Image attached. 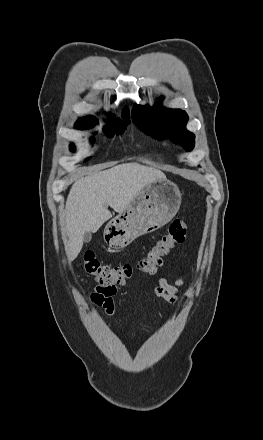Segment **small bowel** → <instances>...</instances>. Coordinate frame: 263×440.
Masks as SVG:
<instances>
[{
	"instance_id": "small-bowel-1",
	"label": "small bowel",
	"mask_w": 263,
	"mask_h": 440,
	"mask_svg": "<svg viewBox=\"0 0 263 440\" xmlns=\"http://www.w3.org/2000/svg\"><path fill=\"white\" fill-rule=\"evenodd\" d=\"M182 284V278L177 279L174 284H171L161 277L158 279L155 295L165 302L176 303L179 300ZM116 292V288L98 286L91 292L90 301L96 306H102L108 315H112L114 313V296Z\"/></svg>"
}]
</instances>
